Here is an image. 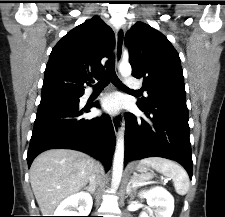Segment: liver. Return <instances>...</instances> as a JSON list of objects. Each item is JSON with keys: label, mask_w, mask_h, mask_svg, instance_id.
Returning <instances> with one entry per match:
<instances>
[{"label": "liver", "mask_w": 225, "mask_h": 217, "mask_svg": "<svg viewBox=\"0 0 225 217\" xmlns=\"http://www.w3.org/2000/svg\"><path fill=\"white\" fill-rule=\"evenodd\" d=\"M97 165L75 150L52 149L38 155L30 168V183L43 216H52L63 199L80 191Z\"/></svg>", "instance_id": "1"}]
</instances>
